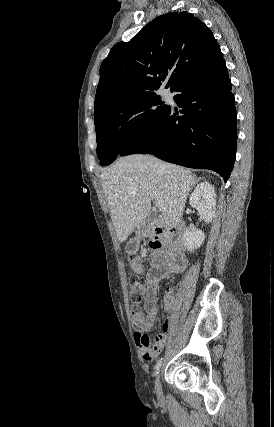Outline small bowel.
<instances>
[{"instance_id": "small-bowel-1", "label": "small bowel", "mask_w": 274, "mask_h": 427, "mask_svg": "<svg viewBox=\"0 0 274 427\" xmlns=\"http://www.w3.org/2000/svg\"><path fill=\"white\" fill-rule=\"evenodd\" d=\"M154 249L149 259L150 269L146 274L143 299V309L148 325L153 324L158 317L156 294L160 280L171 274L183 275L189 267L184 248H178L174 242L164 248ZM172 307L173 296L168 292L164 296V309L170 311ZM172 327L173 320L170 317L165 318L162 323V333L156 336L152 343L146 334L139 331L135 333V341L144 360L152 361L160 354Z\"/></svg>"}]
</instances>
